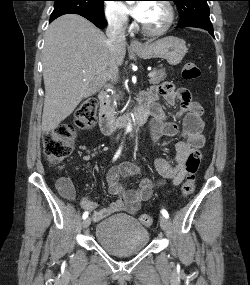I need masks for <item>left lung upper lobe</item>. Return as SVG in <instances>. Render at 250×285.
Returning a JSON list of instances; mask_svg holds the SVG:
<instances>
[{"label": "left lung upper lobe", "mask_w": 250, "mask_h": 285, "mask_svg": "<svg viewBox=\"0 0 250 285\" xmlns=\"http://www.w3.org/2000/svg\"><path fill=\"white\" fill-rule=\"evenodd\" d=\"M175 2L179 13L182 27H213L209 18V0H172Z\"/></svg>", "instance_id": "left-lung-upper-lobe-1"}]
</instances>
